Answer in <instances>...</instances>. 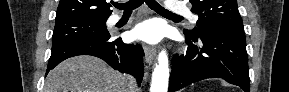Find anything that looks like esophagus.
I'll return each mask as SVG.
<instances>
[{
  "label": "esophagus",
  "instance_id": "obj_1",
  "mask_svg": "<svg viewBox=\"0 0 289 92\" xmlns=\"http://www.w3.org/2000/svg\"><path fill=\"white\" fill-rule=\"evenodd\" d=\"M145 61L151 64L156 58V48L144 45Z\"/></svg>",
  "mask_w": 289,
  "mask_h": 92
}]
</instances>
